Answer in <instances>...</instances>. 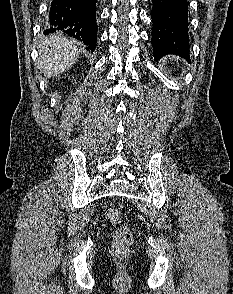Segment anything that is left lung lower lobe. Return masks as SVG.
I'll use <instances>...</instances> for the list:
<instances>
[{
    "label": "left lung lower lobe",
    "instance_id": "obj_1",
    "mask_svg": "<svg viewBox=\"0 0 233 294\" xmlns=\"http://www.w3.org/2000/svg\"><path fill=\"white\" fill-rule=\"evenodd\" d=\"M154 58L167 54L189 58L187 0H152Z\"/></svg>",
    "mask_w": 233,
    "mask_h": 294
}]
</instances>
